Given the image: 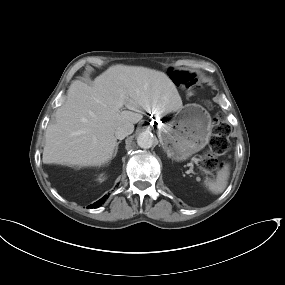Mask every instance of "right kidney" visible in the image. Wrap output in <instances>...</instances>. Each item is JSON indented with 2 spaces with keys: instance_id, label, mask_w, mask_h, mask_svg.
I'll return each instance as SVG.
<instances>
[{
  "instance_id": "obj_1",
  "label": "right kidney",
  "mask_w": 285,
  "mask_h": 285,
  "mask_svg": "<svg viewBox=\"0 0 285 285\" xmlns=\"http://www.w3.org/2000/svg\"><path fill=\"white\" fill-rule=\"evenodd\" d=\"M99 180H100V181H103V180H104V178L102 177V175L100 176Z\"/></svg>"
}]
</instances>
